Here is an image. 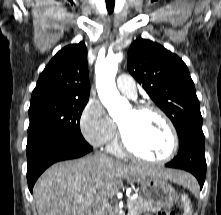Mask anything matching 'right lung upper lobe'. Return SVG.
Segmentation results:
<instances>
[{
  "instance_id": "cb5924a9",
  "label": "right lung upper lobe",
  "mask_w": 221,
  "mask_h": 215,
  "mask_svg": "<svg viewBox=\"0 0 221 215\" xmlns=\"http://www.w3.org/2000/svg\"><path fill=\"white\" fill-rule=\"evenodd\" d=\"M90 83L83 42L62 48L40 74L30 105L61 100H88Z\"/></svg>"
}]
</instances>
